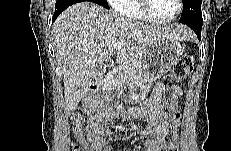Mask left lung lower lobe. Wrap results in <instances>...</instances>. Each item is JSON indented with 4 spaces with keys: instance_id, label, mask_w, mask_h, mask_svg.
I'll return each instance as SVG.
<instances>
[{
    "instance_id": "left-lung-lower-lobe-1",
    "label": "left lung lower lobe",
    "mask_w": 231,
    "mask_h": 151,
    "mask_svg": "<svg viewBox=\"0 0 231 151\" xmlns=\"http://www.w3.org/2000/svg\"><path fill=\"white\" fill-rule=\"evenodd\" d=\"M186 25L189 26L193 31H195L196 35L198 36V38L200 40L201 28H202L203 23L195 22V23H188Z\"/></svg>"
}]
</instances>
